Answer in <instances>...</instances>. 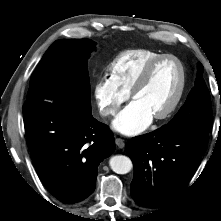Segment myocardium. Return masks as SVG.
Returning <instances> with one entry per match:
<instances>
[{
	"label": "myocardium",
	"mask_w": 221,
	"mask_h": 221,
	"mask_svg": "<svg viewBox=\"0 0 221 221\" xmlns=\"http://www.w3.org/2000/svg\"><path fill=\"white\" fill-rule=\"evenodd\" d=\"M167 59H172L178 64V66L180 68V82H179V86H178L177 92H176L173 100L167 106L166 109H164L162 112L153 116V118L155 120H164V119L168 118L169 116H171L175 112V110L177 109V107L179 106V104L183 98L184 91L186 88V81H187L186 69H185L183 62L177 56L172 55V54H163V55L153 59L144 68V70L142 71V73L140 74V76L138 77V79L136 80L135 84L133 85V87L130 91V98L133 99L135 97V95L147 84V82L149 81V79L152 75L154 68L157 65H159L161 62H163L164 60H167Z\"/></svg>",
	"instance_id": "f54148a6"
}]
</instances>
